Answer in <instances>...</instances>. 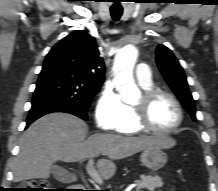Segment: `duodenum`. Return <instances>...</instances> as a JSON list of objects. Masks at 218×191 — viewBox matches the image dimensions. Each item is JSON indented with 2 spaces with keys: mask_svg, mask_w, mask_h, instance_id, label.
Masks as SVG:
<instances>
[{
  "mask_svg": "<svg viewBox=\"0 0 218 191\" xmlns=\"http://www.w3.org/2000/svg\"><path fill=\"white\" fill-rule=\"evenodd\" d=\"M83 189H84L83 184L79 183V184H75L71 191H83Z\"/></svg>",
  "mask_w": 218,
  "mask_h": 191,
  "instance_id": "410a0bca",
  "label": "duodenum"
}]
</instances>
